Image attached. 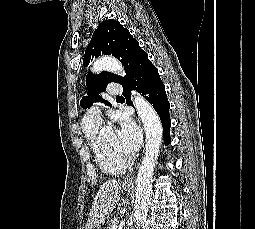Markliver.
Returning <instances> with one entry per match:
<instances>
[{
    "instance_id": "6515ba94",
    "label": "liver",
    "mask_w": 255,
    "mask_h": 229,
    "mask_svg": "<svg viewBox=\"0 0 255 229\" xmlns=\"http://www.w3.org/2000/svg\"><path fill=\"white\" fill-rule=\"evenodd\" d=\"M120 180L112 179L103 183L95 195L85 229L102 224L120 200Z\"/></svg>"
}]
</instances>
